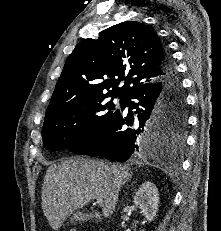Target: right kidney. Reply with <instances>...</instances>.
Segmentation results:
<instances>
[{
    "label": "right kidney",
    "instance_id": "right-kidney-1",
    "mask_svg": "<svg viewBox=\"0 0 221 231\" xmlns=\"http://www.w3.org/2000/svg\"><path fill=\"white\" fill-rule=\"evenodd\" d=\"M134 204L141 210L147 221H153L159 204V194L155 184L143 183L135 193Z\"/></svg>",
    "mask_w": 221,
    "mask_h": 231
}]
</instances>
